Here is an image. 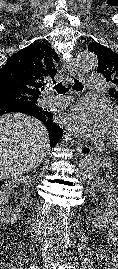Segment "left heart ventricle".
<instances>
[{
    "label": "left heart ventricle",
    "instance_id": "b2bd125f",
    "mask_svg": "<svg viewBox=\"0 0 118 269\" xmlns=\"http://www.w3.org/2000/svg\"><path fill=\"white\" fill-rule=\"evenodd\" d=\"M108 136L111 139H118V117L113 115Z\"/></svg>",
    "mask_w": 118,
    "mask_h": 269
}]
</instances>
